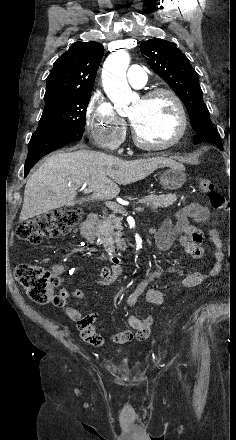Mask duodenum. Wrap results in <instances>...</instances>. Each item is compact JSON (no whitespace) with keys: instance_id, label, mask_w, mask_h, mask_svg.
Segmentation results:
<instances>
[{"instance_id":"1","label":"duodenum","mask_w":236,"mask_h":440,"mask_svg":"<svg viewBox=\"0 0 236 440\" xmlns=\"http://www.w3.org/2000/svg\"><path fill=\"white\" fill-rule=\"evenodd\" d=\"M98 221V214L96 212H91L86 217L82 224V235L84 239L92 246H97V236H96V226ZM97 258L100 261H109L114 264V266H119L121 264V257L118 255L106 256L101 251L97 252Z\"/></svg>"}]
</instances>
